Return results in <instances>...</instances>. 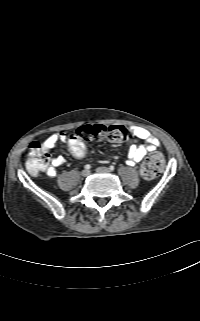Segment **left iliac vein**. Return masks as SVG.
Wrapping results in <instances>:
<instances>
[{"label":"left iliac vein","instance_id":"obj_1","mask_svg":"<svg viewBox=\"0 0 200 321\" xmlns=\"http://www.w3.org/2000/svg\"><path fill=\"white\" fill-rule=\"evenodd\" d=\"M96 171L99 172V173H108V172H110V169L107 168V167H98L96 169Z\"/></svg>","mask_w":200,"mask_h":321}]
</instances>
